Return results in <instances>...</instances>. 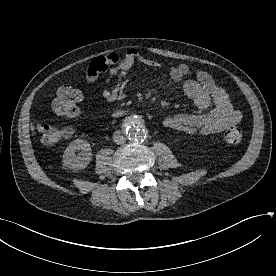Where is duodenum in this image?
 <instances>
[{"mask_svg": "<svg viewBox=\"0 0 276 276\" xmlns=\"http://www.w3.org/2000/svg\"><path fill=\"white\" fill-rule=\"evenodd\" d=\"M121 115H122V113H121L120 111H116V112L114 113V116H116V117L121 116Z\"/></svg>", "mask_w": 276, "mask_h": 276, "instance_id": "1", "label": "duodenum"}]
</instances>
